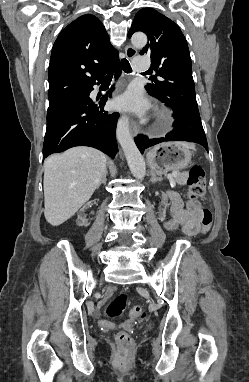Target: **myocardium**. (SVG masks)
<instances>
[{"mask_svg": "<svg viewBox=\"0 0 249 382\" xmlns=\"http://www.w3.org/2000/svg\"><path fill=\"white\" fill-rule=\"evenodd\" d=\"M172 122V117L171 115L164 110H160L156 113L155 116V125L156 128L164 130L167 129Z\"/></svg>", "mask_w": 249, "mask_h": 382, "instance_id": "f54148a6", "label": "myocardium"}]
</instances>
